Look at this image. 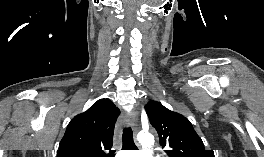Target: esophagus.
Masks as SVG:
<instances>
[{"mask_svg":"<svg viewBox=\"0 0 264 157\" xmlns=\"http://www.w3.org/2000/svg\"><path fill=\"white\" fill-rule=\"evenodd\" d=\"M136 114L134 112H132L131 114H128L126 117V123L130 126L135 127L136 126Z\"/></svg>","mask_w":264,"mask_h":157,"instance_id":"34e87169","label":"esophagus"}]
</instances>
